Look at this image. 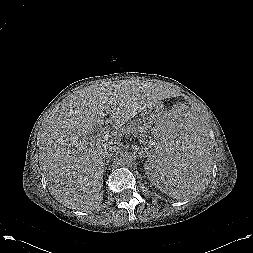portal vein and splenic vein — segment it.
<instances>
[{
  "mask_svg": "<svg viewBox=\"0 0 253 253\" xmlns=\"http://www.w3.org/2000/svg\"><path fill=\"white\" fill-rule=\"evenodd\" d=\"M99 138L97 139V141H100L101 138L103 139H108L110 137V133H109V129L105 128L103 129L99 134H98ZM145 149H148L147 147H145Z\"/></svg>",
  "mask_w": 253,
  "mask_h": 253,
  "instance_id": "18ae733b",
  "label": "portal vein and splenic vein"
}]
</instances>
